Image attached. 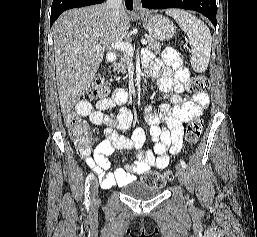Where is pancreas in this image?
Segmentation results:
<instances>
[{"label":"pancreas","mask_w":257,"mask_h":237,"mask_svg":"<svg viewBox=\"0 0 257 237\" xmlns=\"http://www.w3.org/2000/svg\"><path fill=\"white\" fill-rule=\"evenodd\" d=\"M147 49L149 50H160L161 47L163 46V44L157 42L156 40H154L153 38H147ZM131 60V54L124 52L123 55L120 58V61L116 64H114V70H116L118 73H123L126 74L127 73V69L129 67V63Z\"/></svg>","instance_id":"cf45deb5"}]
</instances>
